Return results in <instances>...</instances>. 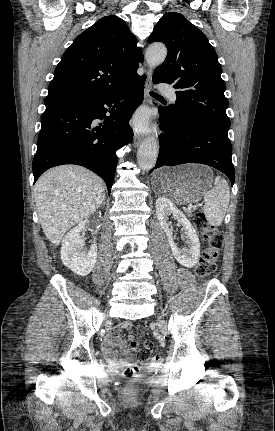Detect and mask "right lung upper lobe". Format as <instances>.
Returning a JSON list of instances; mask_svg holds the SVG:
<instances>
[{
  "label": "right lung upper lobe",
  "mask_w": 275,
  "mask_h": 431,
  "mask_svg": "<svg viewBox=\"0 0 275 431\" xmlns=\"http://www.w3.org/2000/svg\"><path fill=\"white\" fill-rule=\"evenodd\" d=\"M136 43L123 19L107 16L97 21L63 54L49 84L45 106L101 97L134 82L143 61Z\"/></svg>",
  "instance_id": "right-lung-upper-lobe-1"
}]
</instances>
